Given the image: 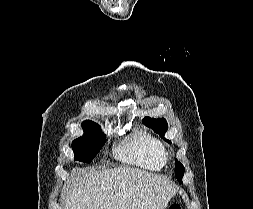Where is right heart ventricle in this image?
<instances>
[{"label": "right heart ventricle", "mask_w": 253, "mask_h": 209, "mask_svg": "<svg viewBox=\"0 0 253 209\" xmlns=\"http://www.w3.org/2000/svg\"><path fill=\"white\" fill-rule=\"evenodd\" d=\"M116 152L127 162L149 170H159L166 163L162 142L141 127L125 139Z\"/></svg>", "instance_id": "1"}]
</instances>
